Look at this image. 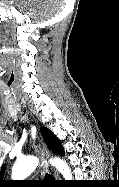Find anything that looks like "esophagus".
<instances>
[{"label":"esophagus","mask_w":119,"mask_h":187,"mask_svg":"<svg viewBox=\"0 0 119 187\" xmlns=\"http://www.w3.org/2000/svg\"><path fill=\"white\" fill-rule=\"evenodd\" d=\"M43 150H44V152L46 153V156H47V158L49 157V151H48V149H47V147L43 144ZM44 165L47 167L48 166V163H47V161H45L44 162ZM54 176H55V178H59V175H58V173H57V171H55L54 170Z\"/></svg>","instance_id":"obj_1"}]
</instances>
